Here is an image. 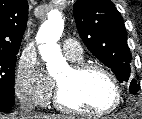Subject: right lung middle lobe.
<instances>
[{
    "instance_id": "obj_1",
    "label": "right lung middle lobe",
    "mask_w": 142,
    "mask_h": 119,
    "mask_svg": "<svg viewBox=\"0 0 142 119\" xmlns=\"http://www.w3.org/2000/svg\"><path fill=\"white\" fill-rule=\"evenodd\" d=\"M18 52H0V96L15 99V64Z\"/></svg>"
}]
</instances>
